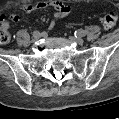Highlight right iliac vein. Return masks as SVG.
I'll return each mask as SVG.
<instances>
[{
  "label": "right iliac vein",
  "mask_w": 119,
  "mask_h": 119,
  "mask_svg": "<svg viewBox=\"0 0 119 119\" xmlns=\"http://www.w3.org/2000/svg\"><path fill=\"white\" fill-rule=\"evenodd\" d=\"M39 38H40V35H37V36H33V42H36V41H38L39 40Z\"/></svg>",
  "instance_id": "right-iliac-vein-1"
}]
</instances>
